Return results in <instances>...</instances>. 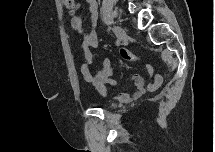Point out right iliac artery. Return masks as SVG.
Wrapping results in <instances>:
<instances>
[{
  "label": "right iliac artery",
  "instance_id": "1",
  "mask_svg": "<svg viewBox=\"0 0 215 152\" xmlns=\"http://www.w3.org/2000/svg\"><path fill=\"white\" fill-rule=\"evenodd\" d=\"M120 41L119 40H116V45H119Z\"/></svg>",
  "mask_w": 215,
  "mask_h": 152
}]
</instances>
